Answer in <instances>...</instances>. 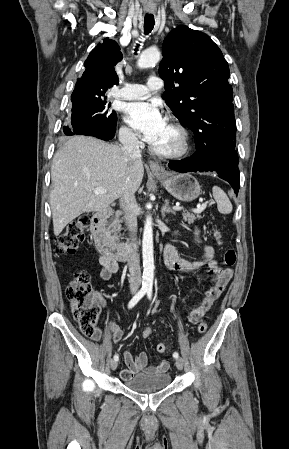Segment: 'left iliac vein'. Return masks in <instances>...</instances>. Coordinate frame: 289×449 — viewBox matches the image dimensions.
Instances as JSON below:
<instances>
[{"label":"left iliac vein","instance_id":"1","mask_svg":"<svg viewBox=\"0 0 289 449\" xmlns=\"http://www.w3.org/2000/svg\"><path fill=\"white\" fill-rule=\"evenodd\" d=\"M175 365L179 370H182L184 367V361L182 358H177L175 361Z\"/></svg>","mask_w":289,"mask_h":449}]
</instances>
